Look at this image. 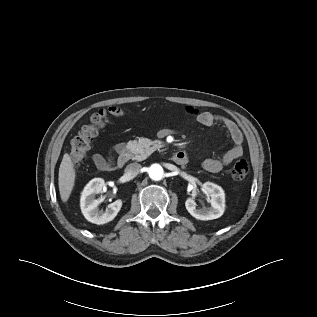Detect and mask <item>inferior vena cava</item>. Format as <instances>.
Listing matches in <instances>:
<instances>
[{"instance_id":"obj_1","label":"inferior vena cava","mask_w":317,"mask_h":317,"mask_svg":"<svg viewBox=\"0 0 317 317\" xmlns=\"http://www.w3.org/2000/svg\"><path fill=\"white\" fill-rule=\"evenodd\" d=\"M141 164L131 163L125 168V174L129 177H135L141 170Z\"/></svg>"}]
</instances>
